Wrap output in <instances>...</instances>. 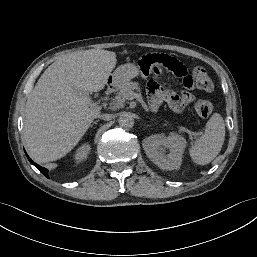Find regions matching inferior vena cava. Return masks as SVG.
I'll use <instances>...</instances> for the list:
<instances>
[{
    "instance_id": "1",
    "label": "inferior vena cava",
    "mask_w": 257,
    "mask_h": 257,
    "mask_svg": "<svg viewBox=\"0 0 257 257\" xmlns=\"http://www.w3.org/2000/svg\"><path fill=\"white\" fill-rule=\"evenodd\" d=\"M96 118H100V119H103L105 121H109L113 118V116H112V114L105 113V114H97Z\"/></svg>"
}]
</instances>
